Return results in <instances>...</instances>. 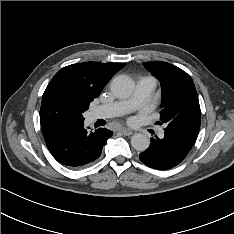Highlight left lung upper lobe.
<instances>
[{
	"label": "left lung upper lobe",
	"mask_w": 234,
	"mask_h": 234,
	"mask_svg": "<svg viewBox=\"0 0 234 234\" xmlns=\"http://www.w3.org/2000/svg\"><path fill=\"white\" fill-rule=\"evenodd\" d=\"M143 65L161 82L160 120L167 125L165 133L191 148L201 125V110L192 78L170 63L153 61Z\"/></svg>",
	"instance_id": "5c2ea615"
}]
</instances>
